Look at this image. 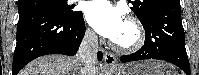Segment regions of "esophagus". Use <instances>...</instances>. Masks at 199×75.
<instances>
[{
  "mask_svg": "<svg viewBox=\"0 0 199 75\" xmlns=\"http://www.w3.org/2000/svg\"><path fill=\"white\" fill-rule=\"evenodd\" d=\"M104 63L106 66L115 67L117 65V58H116L115 54H113L111 52H105Z\"/></svg>",
  "mask_w": 199,
  "mask_h": 75,
  "instance_id": "34e87169",
  "label": "esophagus"
}]
</instances>
